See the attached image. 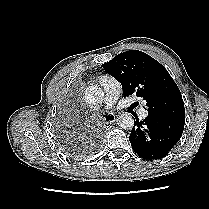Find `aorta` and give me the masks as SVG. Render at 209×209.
Segmentation results:
<instances>
[{"label":"aorta","mask_w":209,"mask_h":209,"mask_svg":"<svg viewBox=\"0 0 209 209\" xmlns=\"http://www.w3.org/2000/svg\"><path fill=\"white\" fill-rule=\"evenodd\" d=\"M104 92L99 86H89L85 90V100L89 104H100L103 102ZM117 125L121 129L130 130L134 126V119L129 113H122L117 118Z\"/></svg>","instance_id":"1"}]
</instances>
